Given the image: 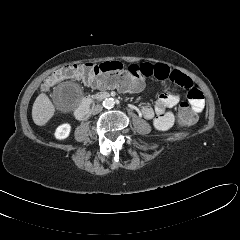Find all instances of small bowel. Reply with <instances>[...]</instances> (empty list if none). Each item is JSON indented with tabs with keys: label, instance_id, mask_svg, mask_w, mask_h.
<instances>
[{
	"label": "small bowel",
	"instance_id": "obj_1",
	"mask_svg": "<svg viewBox=\"0 0 240 240\" xmlns=\"http://www.w3.org/2000/svg\"><path fill=\"white\" fill-rule=\"evenodd\" d=\"M133 71L140 77V84L133 89L137 92L143 88V80L154 77L166 84L167 81L173 82L187 91L188 103L195 114L200 113L205 105L202 92L196 88L192 80L178 70L171 69L163 63H142L131 66ZM97 88H108L107 86L92 85ZM180 101L178 93L170 90L166 84V91L159 95L154 107L144 105L140 109L141 115L151 120L154 127L160 131H166L174 123V114L171 111Z\"/></svg>",
	"mask_w": 240,
	"mask_h": 240
}]
</instances>
